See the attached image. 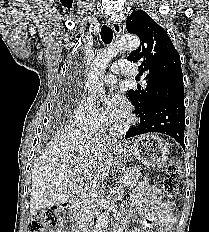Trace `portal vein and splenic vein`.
Wrapping results in <instances>:
<instances>
[{
  "mask_svg": "<svg viewBox=\"0 0 209 232\" xmlns=\"http://www.w3.org/2000/svg\"><path fill=\"white\" fill-rule=\"evenodd\" d=\"M127 178H128V176L127 175H124V180H123V182L126 184V182H127Z\"/></svg>",
  "mask_w": 209,
  "mask_h": 232,
  "instance_id": "obj_1",
  "label": "portal vein and splenic vein"
}]
</instances>
